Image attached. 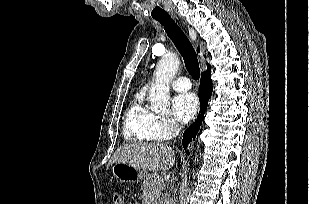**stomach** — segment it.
<instances>
[{"label":"stomach","mask_w":309,"mask_h":204,"mask_svg":"<svg viewBox=\"0 0 309 204\" xmlns=\"http://www.w3.org/2000/svg\"><path fill=\"white\" fill-rule=\"evenodd\" d=\"M111 171L113 176L123 183H138L146 177L143 170L137 169L124 162L114 163L111 167Z\"/></svg>","instance_id":"stomach-1"}]
</instances>
